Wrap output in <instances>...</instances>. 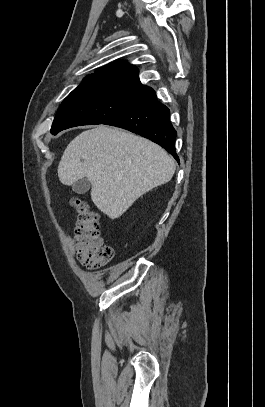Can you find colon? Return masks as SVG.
I'll use <instances>...</instances> for the list:
<instances>
[{"instance_id":"obj_1","label":"colon","mask_w":265,"mask_h":407,"mask_svg":"<svg viewBox=\"0 0 265 407\" xmlns=\"http://www.w3.org/2000/svg\"><path fill=\"white\" fill-rule=\"evenodd\" d=\"M70 204L78 212L74 236L77 259L90 269L107 265L113 259L114 250L104 244L100 232L99 215L87 202L79 198H71Z\"/></svg>"}]
</instances>
